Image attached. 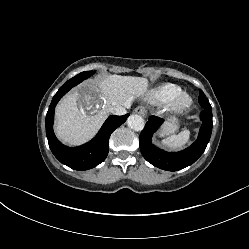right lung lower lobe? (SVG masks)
I'll return each mask as SVG.
<instances>
[{
    "mask_svg": "<svg viewBox=\"0 0 249 249\" xmlns=\"http://www.w3.org/2000/svg\"><path fill=\"white\" fill-rule=\"evenodd\" d=\"M83 80L77 76L68 80L54 95L46 115V135L52 153L61 163L75 170H88L103 162L108 155L111 133L129 116H109L96 137L82 146L70 148L60 143L53 132L55 106L63 95Z\"/></svg>",
    "mask_w": 249,
    "mask_h": 249,
    "instance_id": "98d812e1",
    "label": "right lung lower lobe"
}]
</instances>
